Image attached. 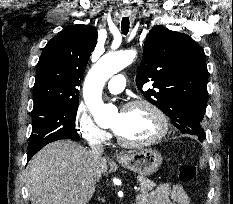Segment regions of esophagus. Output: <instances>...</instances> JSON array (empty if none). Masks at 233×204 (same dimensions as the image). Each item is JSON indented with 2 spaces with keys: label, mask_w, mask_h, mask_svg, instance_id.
<instances>
[{
  "label": "esophagus",
  "mask_w": 233,
  "mask_h": 204,
  "mask_svg": "<svg viewBox=\"0 0 233 204\" xmlns=\"http://www.w3.org/2000/svg\"><path fill=\"white\" fill-rule=\"evenodd\" d=\"M122 15L123 16H129L130 15V11L124 10V11H122ZM123 156H124V154L121 153V152L116 154V158L117 159L122 158Z\"/></svg>",
  "instance_id": "34e87169"
}]
</instances>
